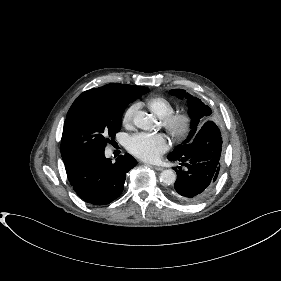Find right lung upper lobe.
Here are the masks:
<instances>
[{
	"instance_id": "cb5924a9",
	"label": "right lung upper lobe",
	"mask_w": 281,
	"mask_h": 281,
	"mask_svg": "<svg viewBox=\"0 0 281 281\" xmlns=\"http://www.w3.org/2000/svg\"><path fill=\"white\" fill-rule=\"evenodd\" d=\"M143 88L145 87L124 84H108L100 88H93L92 90L100 93L108 99L127 100L135 97Z\"/></svg>"
}]
</instances>
